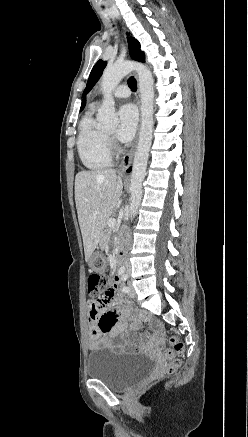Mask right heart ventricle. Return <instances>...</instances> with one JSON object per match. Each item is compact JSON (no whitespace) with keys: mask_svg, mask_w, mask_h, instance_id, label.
<instances>
[{"mask_svg":"<svg viewBox=\"0 0 248 437\" xmlns=\"http://www.w3.org/2000/svg\"><path fill=\"white\" fill-rule=\"evenodd\" d=\"M77 149L87 169L101 170L111 164L107 134L91 113H87L80 121Z\"/></svg>","mask_w":248,"mask_h":437,"instance_id":"e07e8e85","label":"right heart ventricle"}]
</instances>
